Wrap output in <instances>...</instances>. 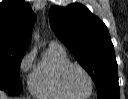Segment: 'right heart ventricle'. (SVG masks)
Returning <instances> with one entry per match:
<instances>
[{
  "label": "right heart ventricle",
  "mask_w": 128,
  "mask_h": 99,
  "mask_svg": "<svg viewBox=\"0 0 128 99\" xmlns=\"http://www.w3.org/2000/svg\"><path fill=\"white\" fill-rule=\"evenodd\" d=\"M68 62L64 50L49 47L30 76L31 94L38 99H68L58 84L59 71Z\"/></svg>",
  "instance_id": "obj_1"
}]
</instances>
